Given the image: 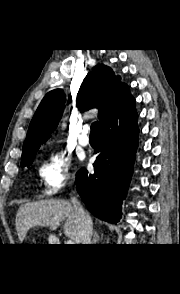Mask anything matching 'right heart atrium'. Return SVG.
Masks as SVG:
<instances>
[{"label": "right heart atrium", "instance_id": "1", "mask_svg": "<svg viewBox=\"0 0 180 294\" xmlns=\"http://www.w3.org/2000/svg\"><path fill=\"white\" fill-rule=\"evenodd\" d=\"M71 164L70 156L62 150H53L44 158L38 167L44 195H55L72 180Z\"/></svg>", "mask_w": 180, "mask_h": 294}]
</instances>
